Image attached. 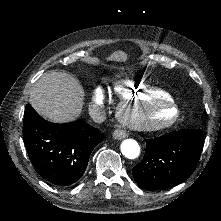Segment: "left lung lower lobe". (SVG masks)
<instances>
[{"mask_svg":"<svg viewBox=\"0 0 221 221\" xmlns=\"http://www.w3.org/2000/svg\"><path fill=\"white\" fill-rule=\"evenodd\" d=\"M145 142V156L133 167V177L146 190L168 189L184 182L195 170L203 149V132L182 129Z\"/></svg>","mask_w":221,"mask_h":221,"instance_id":"obj_1","label":"left lung lower lobe"}]
</instances>
